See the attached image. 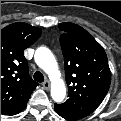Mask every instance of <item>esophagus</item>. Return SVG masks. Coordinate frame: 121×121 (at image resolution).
<instances>
[{
  "label": "esophagus",
  "mask_w": 121,
  "mask_h": 121,
  "mask_svg": "<svg viewBox=\"0 0 121 121\" xmlns=\"http://www.w3.org/2000/svg\"><path fill=\"white\" fill-rule=\"evenodd\" d=\"M44 89L48 90L50 88V82L46 80L43 84Z\"/></svg>",
  "instance_id": "1"
}]
</instances>
